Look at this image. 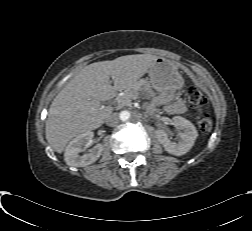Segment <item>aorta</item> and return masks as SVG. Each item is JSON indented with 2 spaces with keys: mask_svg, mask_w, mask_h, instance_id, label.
Masks as SVG:
<instances>
[{
  "mask_svg": "<svg viewBox=\"0 0 252 231\" xmlns=\"http://www.w3.org/2000/svg\"><path fill=\"white\" fill-rule=\"evenodd\" d=\"M130 116H131V114H130V112L127 111V110H124V111H122V112L120 113V119H121L122 121H127V120L130 118Z\"/></svg>",
  "mask_w": 252,
  "mask_h": 231,
  "instance_id": "1",
  "label": "aorta"
}]
</instances>
